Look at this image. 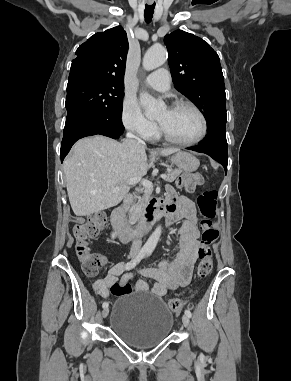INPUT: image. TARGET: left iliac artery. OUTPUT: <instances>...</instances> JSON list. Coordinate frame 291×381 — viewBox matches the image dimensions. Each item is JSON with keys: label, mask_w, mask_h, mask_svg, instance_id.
<instances>
[{"label": "left iliac artery", "mask_w": 291, "mask_h": 381, "mask_svg": "<svg viewBox=\"0 0 291 381\" xmlns=\"http://www.w3.org/2000/svg\"><path fill=\"white\" fill-rule=\"evenodd\" d=\"M151 250L147 252V256H149L151 254ZM185 315H187L189 318L192 316V313L190 310L186 309L185 310Z\"/></svg>", "instance_id": "44dca946"}]
</instances>
